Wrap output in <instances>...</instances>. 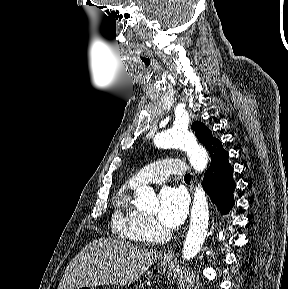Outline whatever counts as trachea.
Instances as JSON below:
<instances>
[{"label": "trachea", "mask_w": 288, "mask_h": 289, "mask_svg": "<svg viewBox=\"0 0 288 289\" xmlns=\"http://www.w3.org/2000/svg\"><path fill=\"white\" fill-rule=\"evenodd\" d=\"M141 59H142V61L145 63L146 66L150 67V66L152 65V64H151V60H150L149 58L143 57V58H141ZM184 179H185V180H190V179H191L190 174H186V175L184 176Z\"/></svg>", "instance_id": "obj_1"}]
</instances>
